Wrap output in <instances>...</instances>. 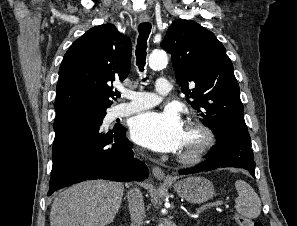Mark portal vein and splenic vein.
<instances>
[{
    "label": "portal vein and splenic vein",
    "mask_w": 297,
    "mask_h": 226,
    "mask_svg": "<svg viewBox=\"0 0 297 226\" xmlns=\"http://www.w3.org/2000/svg\"><path fill=\"white\" fill-rule=\"evenodd\" d=\"M221 204H222L221 201L207 203V204L203 205L202 207H200V208L198 209V212H199V211L206 210V209H210V208L218 207V206L221 205Z\"/></svg>",
    "instance_id": "18ae733b"
}]
</instances>
